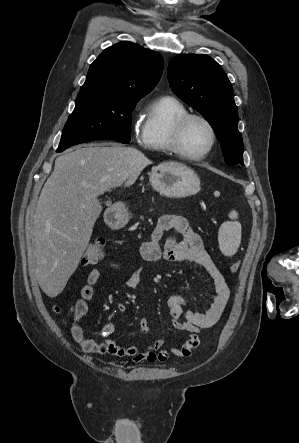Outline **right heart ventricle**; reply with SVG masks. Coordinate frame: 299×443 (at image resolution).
Masks as SVG:
<instances>
[{"label": "right heart ventricle", "mask_w": 299, "mask_h": 443, "mask_svg": "<svg viewBox=\"0 0 299 443\" xmlns=\"http://www.w3.org/2000/svg\"><path fill=\"white\" fill-rule=\"evenodd\" d=\"M187 109L178 99L162 96L155 99L147 108L140 133L141 146L154 152H173L171 132L174 121Z\"/></svg>", "instance_id": "obj_1"}]
</instances>
